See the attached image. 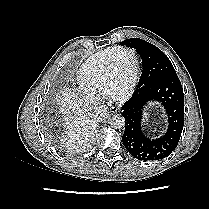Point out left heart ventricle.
I'll use <instances>...</instances> for the list:
<instances>
[{"mask_svg":"<svg viewBox=\"0 0 209 209\" xmlns=\"http://www.w3.org/2000/svg\"><path fill=\"white\" fill-rule=\"evenodd\" d=\"M134 75V62L132 54L120 52L114 58V68L112 73V91L121 93L130 85Z\"/></svg>","mask_w":209,"mask_h":209,"instance_id":"obj_1","label":"left heart ventricle"}]
</instances>
